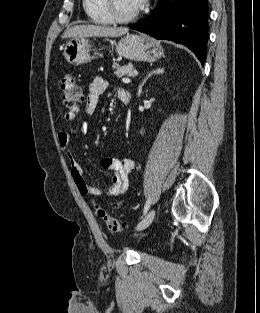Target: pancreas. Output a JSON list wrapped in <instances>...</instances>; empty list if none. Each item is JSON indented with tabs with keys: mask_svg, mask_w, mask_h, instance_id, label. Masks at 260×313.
<instances>
[{
	"mask_svg": "<svg viewBox=\"0 0 260 313\" xmlns=\"http://www.w3.org/2000/svg\"><path fill=\"white\" fill-rule=\"evenodd\" d=\"M115 69L114 74L116 77L120 78L124 75H134L135 69L131 63H128L126 65L120 66L117 63H114L112 66Z\"/></svg>",
	"mask_w": 260,
	"mask_h": 313,
	"instance_id": "obj_1",
	"label": "pancreas"
}]
</instances>
